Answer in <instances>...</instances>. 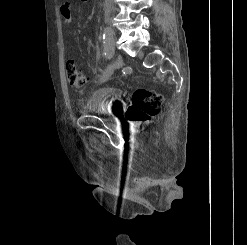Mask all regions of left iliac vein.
<instances>
[{"mask_svg":"<svg viewBox=\"0 0 247 245\" xmlns=\"http://www.w3.org/2000/svg\"><path fill=\"white\" fill-rule=\"evenodd\" d=\"M115 40V39H114ZM114 48H115V45H114ZM123 65V61H122V58L120 56H117L112 64V71L117 69V68H120L121 66Z\"/></svg>","mask_w":247,"mask_h":245,"instance_id":"1","label":"left iliac vein"}]
</instances>
